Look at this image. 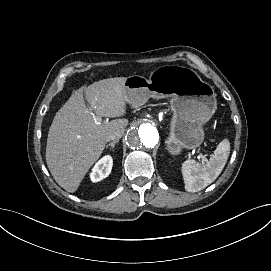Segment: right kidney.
I'll return each mask as SVG.
<instances>
[{"label":"right kidney","mask_w":271,"mask_h":271,"mask_svg":"<svg viewBox=\"0 0 271 271\" xmlns=\"http://www.w3.org/2000/svg\"><path fill=\"white\" fill-rule=\"evenodd\" d=\"M112 169V158L105 156L93 168L91 179L93 182H98L107 177Z\"/></svg>","instance_id":"ca27d5eb"}]
</instances>
